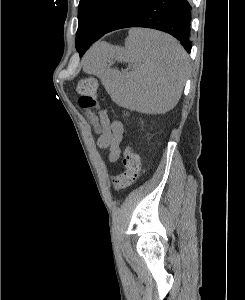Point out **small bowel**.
I'll list each match as a JSON object with an SVG mask.
<instances>
[{
	"mask_svg": "<svg viewBox=\"0 0 245 300\" xmlns=\"http://www.w3.org/2000/svg\"><path fill=\"white\" fill-rule=\"evenodd\" d=\"M87 116L97 134V145L101 149H107L108 159L116 162L121 153L120 144L124 135V125L117 119H110L106 111L99 114L87 112Z\"/></svg>",
	"mask_w": 245,
	"mask_h": 300,
	"instance_id": "obj_1",
	"label": "small bowel"
}]
</instances>
